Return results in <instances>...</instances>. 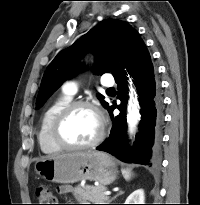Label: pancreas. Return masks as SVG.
I'll return each mask as SVG.
<instances>
[{"instance_id": "1", "label": "pancreas", "mask_w": 200, "mask_h": 205, "mask_svg": "<svg viewBox=\"0 0 200 205\" xmlns=\"http://www.w3.org/2000/svg\"><path fill=\"white\" fill-rule=\"evenodd\" d=\"M106 190L107 187L103 185H85L84 187L78 185L74 188L73 195L78 201H90L93 204H103L104 202L110 201L109 197L104 194Z\"/></svg>"}]
</instances>
